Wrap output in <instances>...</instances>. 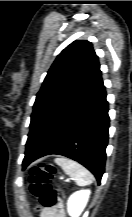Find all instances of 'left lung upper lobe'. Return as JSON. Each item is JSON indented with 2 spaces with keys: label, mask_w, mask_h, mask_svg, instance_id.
I'll list each match as a JSON object with an SVG mask.
<instances>
[{
  "label": "left lung upper lobe",
  "mask_w": 132,
  "mask_h": 217,
  "mask_svg": "<svg viewBox=\"0 0 132 217\" xmlns=\"http://www.w3.org/2000/svg\"><path fill=\"white\" fill-rule=\"evenodd\" d=\"M99 72L98 57L88 41H74L58 55L37 94L25 154L39 143L58 116Z\"/></svg>",
  "instance_id": "1"
}]
</instances>
